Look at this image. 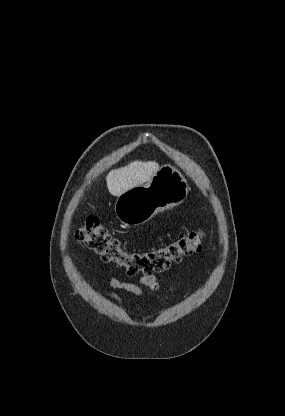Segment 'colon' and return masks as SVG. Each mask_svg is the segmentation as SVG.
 Masks as SVG:
<instances>
[{
    "label": "colon",
    "mask_w": 285,
    "mask_h": 416,
    "mask_svg": "<svg viewBox=\"0 0 285 416\" xmlns=\"http://www.w3.org/2000/svg\"><path fill=\"white\" fill-rule=\"evenodd\" d=\"M77 238L104 262L125 269L130 276H151L169 269L184 257L200 252L204 247L203 234L194 231L181 235L175 241L145 252L129 251L103 227L97 218L89 217L77 231Z\"/></svg>",
    "instance_id": "1"
}]
</instances>
